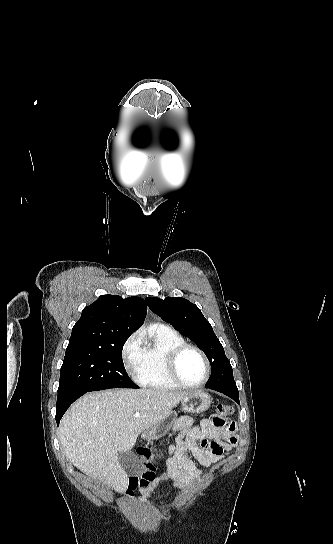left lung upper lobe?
I'll list each match as a JSON object with an SVG mask.
<instances>
[{
    "mask_svg": "<svg viewBox=\"0 0 333 544\" xmlns=\"http://www.w3.org/2000/svg\"><path fill=\"white\" fill-rule=\"evenodd\" d=\"M145 302L151 311L187 335L206 354L211 363V376L206 388L238 391L224 348L195 304L182 297H167L164 300L147 297Z\"/></svg>",
    "mask_w": 333,
    "mask_h": 544,
    "instance_id": "left-lung-upper-lobe-1",
    "label": "left lung upper lobe"
}]
</instances>
